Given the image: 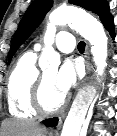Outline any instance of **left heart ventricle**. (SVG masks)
Wrapping results in <instances>:
<instances>
[{
    "instance_id": "b2bd125f",
    "label": "left heart ventricle",
    "mask_w": 117,
    "mask_h": 136,
    "mask_svg": "<svg viewBox=\"0 0 117 136\" xmlns=\"http://www.w3.org/2000/svg\"><path fill=\"white\" fill-rule=\"evenodd\" d=\"M44 87L42 91V101L46 108L53 109L58 106L63 98L55 87L56 70H48L43 73Z\"/></svg>"
}]
</instances>
